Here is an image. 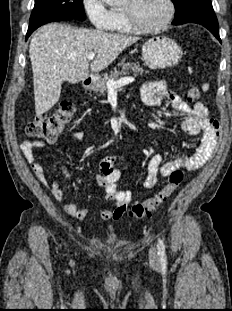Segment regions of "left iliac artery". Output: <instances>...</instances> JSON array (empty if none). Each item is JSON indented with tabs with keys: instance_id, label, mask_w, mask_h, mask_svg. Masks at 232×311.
<instances>
[{
	"instance_id": "44dca946",
	"label": "left iliac artery",
	"mask_w": 232,
	"mask_h": 311,
	"mask_svg": "<svg viewBox=\"0 0 232 311\" xmlns=\"http://www.w3.org/2000/svg\"><path fill=\"white\" fill-rule=\"evenodd\" d=\"M157 249H158V255L160 257V262L162 265H166V253H165V244L163 240L158 239V244H157Z\"/></svg>"
}]
</instances>
